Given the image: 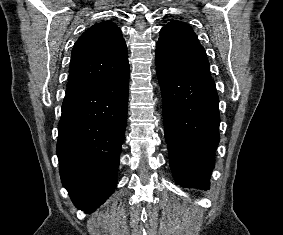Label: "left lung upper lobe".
Wrapping results in <instances>:
<instances>
[{
	"mask_svg": "<svg viewBox=\"0 0 283 235\" xmlns=\"http://www.w3.org/2000/svg\"><path fill=\"white\" fill-rule=\"evenodd\" d=\"M155 64L211 78L209 62L193 29L181 21H170L161 29Z\"/></svg>",
	"mask_w": 283,
	"mask_h": 235,
	"instance_id": "5c2ea615",
	"label": "left lung upper lobe"
}]
</instances>
